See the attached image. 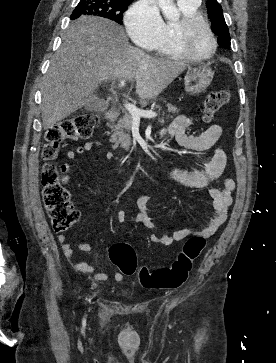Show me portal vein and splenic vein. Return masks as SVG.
Listing matches in <instances>:
<instances>
[{"label":"portal vein and splenic vein","instance_id":"1","mask_svg":"<svg viewBox=\"0 0 276 363\" xmlns=\"http://www.w3.org/2000/svg\"><path fill=\"white\" fill-rule=\"evenodd\" d=\"M125 84H126V81L122 79V80H120L118 86L124 87ZM124 106L129 111V113L132 115L133 119H135V120H140L141 117L154 118L157 116L156 113H154L152 111L141 110L131 103H126Z\"/></svg>","mask_w":276,"mask_h":363}]
</instances>
